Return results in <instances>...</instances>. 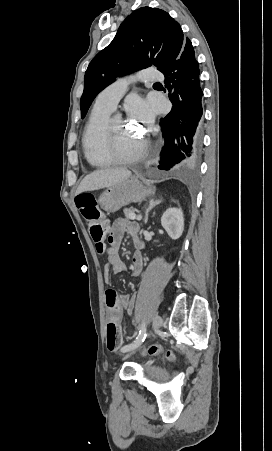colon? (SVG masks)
<instances>
[{
	"instance_id": "colon-1",
	"label": "colon",
	"mask_w": 272,
	"mask_h": 451,
	"mask_svg": "<svg viewBox=\"0 0 272 451\" xmlns=\"http://www.w3.org/2000/svg\"><path fill=\"white\" fill-rule=\"evenodd\" d=\"M77 207L80 209L82 217L86 221L90 230L91 238L93 239L96 251L98 253L104 252L106 245L104 239L107 237V232L101 226L102 212L99 209L98 200L90 194H82L75 199ZM105 344L110 353H114L118 347L122 346V339L119 334L118 324L113 320H107L105 326ZM138 354H155L157 347L155 345H138ZM167 358L172 356L170 351L165 353Z\"/></svg>"
}]
</instances>
